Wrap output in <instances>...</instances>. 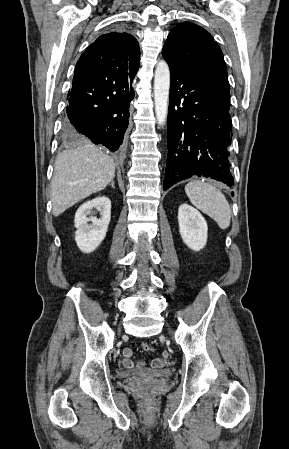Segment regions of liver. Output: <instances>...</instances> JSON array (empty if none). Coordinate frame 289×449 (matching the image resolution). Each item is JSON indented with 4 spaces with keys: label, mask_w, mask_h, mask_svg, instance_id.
<instances>
[{
    "label": "liver",
    "mask_w": 289,
    "mask_h": 449,
    "mask_svg": "<svg viewBox=\"0 0 289 449\" xmlns=\"http://www.w3.org/2000/svg\"><path fill=\"white\" fill-rule=\"evenodd\" d=\"M115 176L114 160L91 143L61 152L51 184L55 217L80 200L105 189Z\"/></svg>",
    "instance_id": "6515ba94"
}]
</instances>
